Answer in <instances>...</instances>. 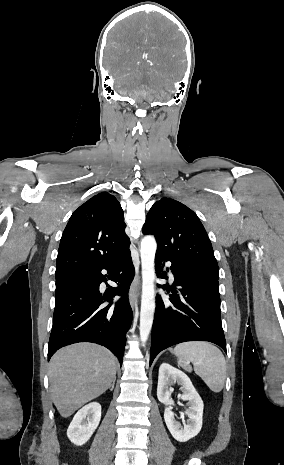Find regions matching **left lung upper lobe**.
<instances>
[{
  "label": "left lung upper lobe",
  "instance_id": "5c2ea615",
  "mask_svg": "<svg viewBox=\"0 0 284 465\" xmlns=\"http://www.w3.org/2000/svg\"><path fill=\"white\" fill-rule=\"evenodd\" d=\"M143 233L155 236L157 254L218 280V264L205 228L184 204L167 197L157 201L147 214Z\"/></svg>",
  "mask_w": 284,
  "mask_h": 465
}]
</instances>
